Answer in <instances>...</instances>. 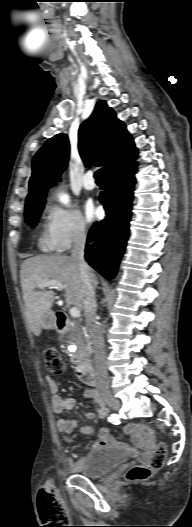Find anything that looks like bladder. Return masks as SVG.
<instances>
[{
  "mask_svg": "<svg viewBox=\"0 0 192 527\" xmlns=\"http://www.w3.org/2000/svg\"><path fill=\"white\" fill-rule=\"evenodd\" d=\"M126 453L115 446H95L75 464L76 472L90 479L101 478L126 460Z\"/></svg>",
  "mask_w": 192,
  "mask_h": 527,
  "instance_id": "obj_1",
  "label": "bladder"
}]
</instances>
